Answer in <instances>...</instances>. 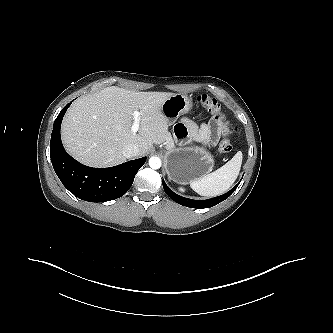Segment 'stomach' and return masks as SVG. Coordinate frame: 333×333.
Masks as SVG:
<instances>
[{"label":"stomach","mask_w":333,"mask_h":333,"mask_svg":"<svg viewBox=\"0 0 333 333\" xmlns=\"http://www.w3.org/2000/svg\"><path fill=\"white\" fill-rule=\"evenodd\" d=\"M192 107V100L183 94L170 96L161 107L165 118L175 123L179 116L186 114ZM214 159L207 149L188 146L168 150L166 153V171L170 180L178 184L198 180L213 170Z\"/></svg>","instance_id":"obj_1"}]
</instances>
